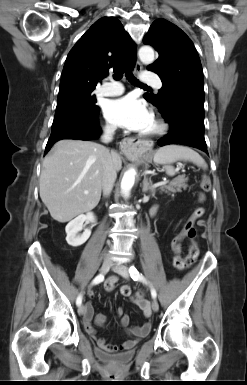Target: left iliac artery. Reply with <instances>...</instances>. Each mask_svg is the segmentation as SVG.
<instances>
[{
	"mask_svg": "<svg viewBox=\"0 0 247 385\" xmlns=\"http://www.w3.org/2000/svg\"><path fill=\"white\" fill-rule=\"evenodd\" d=\"M129 272H130V275H131V278L134 280V281H141L147 285L150 286V289H151V295L153 298H156L157 296V293H156V290L149 284V282L147 281V279L141 274L138 272V270L134 267V266H131L130 269H129Z\"/></svg>",
	"mask_w": 247,
	"mask_h": 385,
	"instance_id": "44dca946",
	"label": "left iliac artery"
}]
</instances>
